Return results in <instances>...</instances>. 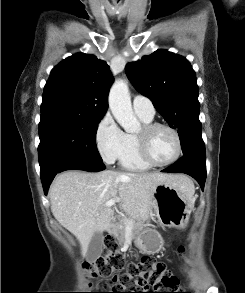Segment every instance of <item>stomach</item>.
<instances>
[{"mask_svg":"<svg viewBox=\"0 0 245 293\" xmlns=\"http://www.w3.org/2000/svg\"><path fill=\"white\" fill-rule=\"evenodd\" d=\"M152 202L158 222L167 227L184 226L193 209L192 198L171 183L157 185ZM162 244L161 235L154 229H145L135 237L136 247L146 254L159 252Z\"/></svg>","mask_w":245,"mask_h":293,"instance_id":"1","label":"stomach"}]
</instances>
